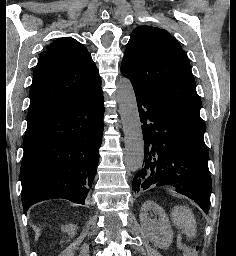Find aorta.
<instances>
[{
    "mask_svg": "<svg viewBox=\"0 0 236 256\" xmlns=\"http://www.w3.org/2000/svg\"><path fill=\"white\" fill-rule=\"evenodd\" d=\"M116 98L125 136V164L130 171L136 172L142 167L144 140L137 101L129 79L123 77L117 82Z\"/></svg>",
    "mask_w": 236,
    "mask_h": 256,
    "instance_id": "762f6f07",
    "label": "aorta"
}]
</instances>
